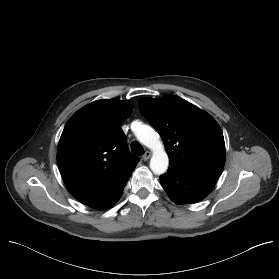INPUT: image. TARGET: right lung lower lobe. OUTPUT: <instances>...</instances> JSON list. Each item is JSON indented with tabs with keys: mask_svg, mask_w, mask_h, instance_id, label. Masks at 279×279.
<instances>
[{
	"mask_svg": "<svg viewBox=\"0 0 279 279\" xmlns=\"http://www.w3.org/2000/svg\"><path fill=\"white\" fill-rule=\"evenodd\" d=\"M127 181L128 179L112 190L91 199L85 200L82 203L100 210L108 209L120 199L123 193V188L126 185Z\"/></svg>",
	"mask_w": 279,
	"mask_h": 279,
	"instance_id": "right-lung-lower-lobe-1",
	"label": "right lung lower lobe"
}]
</instances>
